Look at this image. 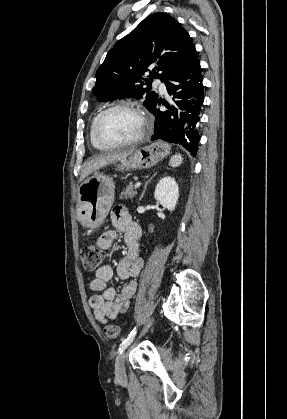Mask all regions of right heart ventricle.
Returning a JSON list of instances; mask_svg holds the SVG:
<instances>
[{
    "label": "right heart ventricle",
    "mask_w": 287,
    "mask_h": 419,
    "mask_svg": "<svg viewBox=\"0 0 287 419\" xmlns=\"http://www.w3.org/2000/svg\"><path fill=\"white\" fill-rule=\"evenodd\" d=\"M97 116H98V114L93 118V120H92V122H91V124H90V128H89V139H90V143H91V145L94 147V148H96V149H98V150H101V151H106V150H109L110 148H108V147H105V146H103V145H101L97 140H96V138H95V136H94V123H95V120H96V118H97Z\"/></svg>",
    "instance_id": "obj_1"
}]
</instances>
